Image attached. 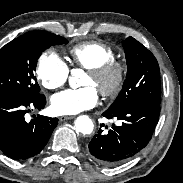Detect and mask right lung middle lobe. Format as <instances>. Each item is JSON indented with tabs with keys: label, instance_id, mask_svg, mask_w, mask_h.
Here are the masks:
<instances>
[{
	"label": "right lung middle lobe",
	"instance_id": "dd1d6c3e",
	"mask_svg": "<svg viewBox=\"0 0 183 183\" xmlns=\"http://www.w3.org/2000/svg\"><path fill=\"white\" fill-rule=\"evenodd\" d=\"M65 43L59 35L35 30L6 44L0 50V96L40 93L34 76L37 59L47 48Z\"/></svg>",
	"mask_w": 183,
	"mask_h": 183
}]
</instances>
